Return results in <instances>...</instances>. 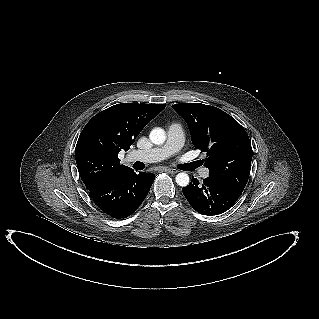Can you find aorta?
I'll return each instance as SVG.
<instances>
[{
	"instance_id": "obj_1",
	"label": "aorta",
	"mask_w": 319,
	"mask_h": 319,
	"mask_svg": "<svg viewBox=\"0 0 319 319\" xmlns=\"http://www.w3.org/2000/svg\"><path fill=\"white\" fill-rule=\"evenodd\" d=\"M149 138L151 140L152 143L156 144V145H160L163 144L166 140V134L164 129L156 127L154 128L149 135ZM176 183L179 186L185 187L189 184V176L187 173H178L176 175Z\"/></svg>"
}]
</instances>
